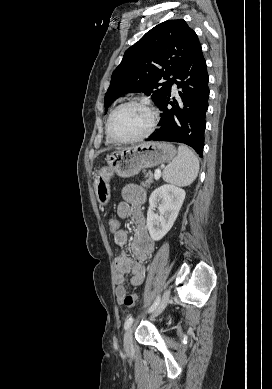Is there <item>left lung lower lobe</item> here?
<instances>
[{
  "instance_id": "obj_1",
  "label": "left lung lower lobe",
  "mask_w": 272,
  "mask_h": 389,
  "mask_svg": "<svg viewBox=\"0 0 272 389\" xmlns=\"http://www.w3.org/2000/svg\"><path fill=\"white\" fill-rule=\"evenodd\" d=\"M172 82L176 83L183 108L176 100L170 102V93L159 106L163 111L158 130L152 133L147 141H171L191 146L202 157L204 146L205 114L208 109V74L206 61L200 47L189 63ZM171 85V86H172ZM171 105L172 108L168 106Z\"/></svg>"
}]
</instances>
